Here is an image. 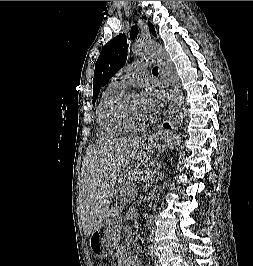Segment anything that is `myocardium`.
<instances>
[{
	"label": "myocardium",
	"instance_id": "1",
	"mask_svg": "<svg viewBox=\"0 0 253 266\" xmlns=\"http://www.w3.org/2000/svg\"><path fill=\"white\" fill-rule=\"evenodd\" d=\"M131 94H136V92L132 90L124 91L115 99L109 111L110 122L126 132L137 131L145 123L144 120L139 123H133L126 117L124 113L125 101Z\"/></svg>",
	"mask_w": 253,
	"mask_h": 266
}]
</instances>
